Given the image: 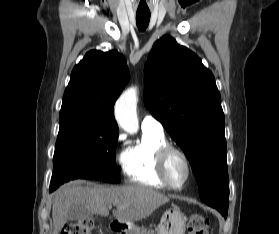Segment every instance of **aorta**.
<instances>
[{"label":"aorta","mask_w":279,"mask_h":234,"mask_svg":"<svg viewBox=\"0 0 279 234\" xmlns=\"http://www.w3.org/2000/svg\"><path fill=\"white\" fill-rule=\"evenodd\" d=\"M137 102V89L131 87L121 94L115 104L116 121L124 131L130 134L136 133L139 129Z\"/></svg>","instance_id":"1"}]
</instances>
